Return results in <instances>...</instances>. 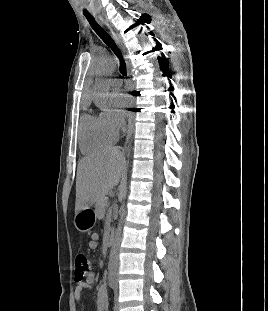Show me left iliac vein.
I'll return each mask as SVG.
<instances>
[{
	"label": "left iliac vein",
	"mask_w": 268,
	"mask_h": 311,
	"mask_svg": "<svg viewBox=\"0 0 268 311\" xmlns=\"http://www.w3.org/2000/svg\"><path fill=\"white\" fill-rule=\"evenodd\" d=\"M114 301H115V311H119L117 287L115 288V298H114Z\"/></svg>",
	"instance_id": "left-iliac-vein-1"
}]
</instances>
